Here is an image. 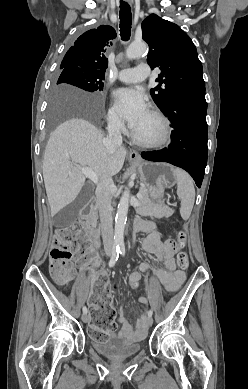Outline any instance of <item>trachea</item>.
Segmentation results:
<instances>
[{
	"label": "trachea",
	"mask_w": 248,
	"mask_h": 389,
	"mask_svg": "<svg viewBox=\"0 0 248 389\" xmlns=\"http://www.w3.org/2000/svg\"><path fill=\"white\" fill-rule=\"evenodd\" d=\"M120 36L123 41H128L131 36L132 14L127 2H120Z\"/></svg>",
	"instance_id": "3493384b"
}]
</instances>
